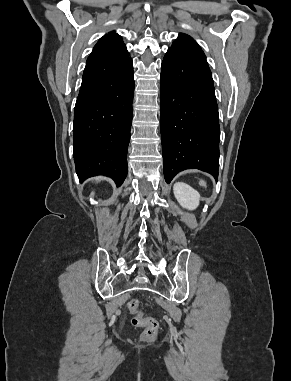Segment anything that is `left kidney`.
Instances as JSON below:
<instances>
[{
  "label": "left kidney",
  "mask_w": 291,
  "mask_h": 381,
  "mask_svg": "<svg viewBox=\"0 0 291 381\" xmlns=\"http://www.w3.org/2000/svg\"><path fill=\"white\" fill-rule=\"evenodd\" d=\"M173 192L178 203L188 210H194L198 207L200 194L183 182H177L173 186Z\"/></svg>",
  "instance_id": "obj_1"
}]
</instances>
